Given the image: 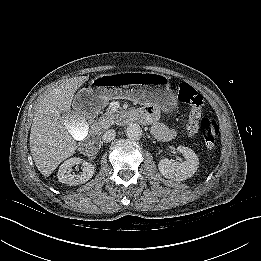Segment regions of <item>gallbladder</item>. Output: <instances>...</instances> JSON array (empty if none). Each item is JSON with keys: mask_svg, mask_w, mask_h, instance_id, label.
<instances>
[{"mask_svg": "<svg viewBox=\"0 0 261 261\" xmlns=\"http://www.w3.org/2000/svg\"><path fill=\"white\" fill-rule=\"evenodd\" d=\"M64 127L77 141L85 139L89 133L88 122L80 114L75 112L70 113L65 119Z\"/></svg>", "mask_w": 261, "mask_h": 261, "instance_id": "obj_1", "label": "gallbladder"}]
</instances>
